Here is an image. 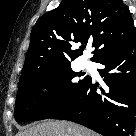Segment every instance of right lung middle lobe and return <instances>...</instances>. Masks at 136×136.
<instances>
[{
	"mask_svg": "<svg viewBox=\"0 0 136 136\" xmlns=\"http://www.w3.org/2000/svg\"><path fill=\"white\" fill-rule=\"evenodd\" d=\"M84 74L74 72L70 64H66L35 72L20 79L14 110L16 121L47 119L82 88L90 76L86 75L81 80L75 78ZM43 87L49 92L42 93Z\"/></svg>",
	"mask_w": 136,
	"mask_h": 136,
	"instance_id": "right-lung-middle-lobe-1",
	"label": "right lung middle lobe"
}]
</instances>
